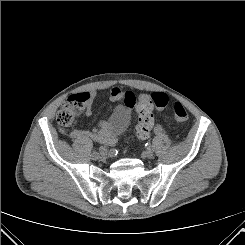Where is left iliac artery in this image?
Segmentation results:
<instances>
[{"instance_id":"obj_1","label":"left iliac artery","mask_w":245,"mask_h":245,"mask_svg":"<svg viewBox=\"0 0 245 245\" xmlns=\"http://www.w3.org/2000/svg\"><path fill=\"white\" fill-rule=\"evenodd\" d=\"M155 132L156 133H161L162 132V127L161 126H156L155 127Z\"/></svg>"}]
</instances>
